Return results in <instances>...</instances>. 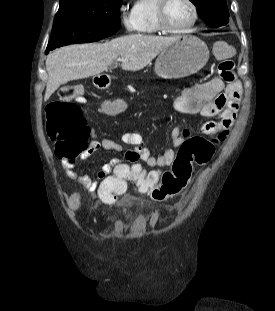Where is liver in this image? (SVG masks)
Masks as SVG:
<instances>
[{"mask_svg":"<svg viewBox=\"0 0 275 311\" xmlns=\"http://www.w3.org/2000/svg\"><path fill=\"white\" fill-rule=\"evenodd\" d=\"M179 37L131 34L107 43L76 44L52 52L46 60L48 81L45 100L69 81L98 75L117 58L123 70L138 71Z\"/></svg>","mask_w":275,"mask_h":311,"instance_id":"liver-1","label":"liver"}]
</instances>
